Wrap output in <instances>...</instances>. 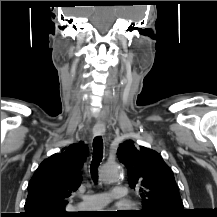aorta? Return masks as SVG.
Masks as SVG:
<instances>
[{
	"label": "aorta",
	"mask_w": 217,
	"mask_h": 217,
	"mask_svg": "<svg viewBox=\"0 0 217 217\" xmlns=\"http://www.w3.org/2000/svg\"><path fill=\"white\" fill-rule=\"evenodd\" d=\"M121 169L117 164H105L101 168V179L110 183L120 179Z\"/></svg>",
	"instance_id": "1"
}]
</instances>
